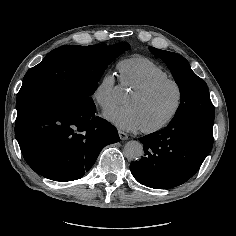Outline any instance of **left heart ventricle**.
<instances>
[{
    "label": "left heart ventricle",
    "mask_w": 236,
    "mask_h": 236,
    "mask_svg": "<svg viewBox=\"0 0 236 236\" xmlns=\"http://www.w3.org/2000/svg\"><path fill=\"white\" fill-rule=\"evenodd\" d=\"M176 101L177 91L175 87L166 84L147 96L141 97L131 93L126 103L137 110L141 127H152L171 114Z\"/></svg>",
    "instance_id": "1"
}]
</instances>
